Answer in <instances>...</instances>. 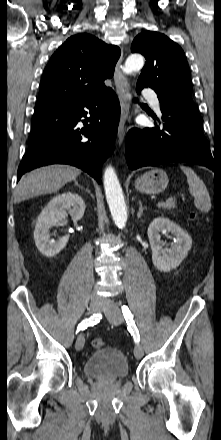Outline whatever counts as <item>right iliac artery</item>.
Returning a JSON list of instances; mask_svg holds the SVG:
<instances>
[{"instance_id":"right-iliac-artery-1","label":"right iliac artery","mask_w":221,"mask_h":440,"mask_svg":"<svg viewBox=\"0 0 221 440\" xmlns=\"http://www.w3.org/2000/svg\"><path fill=\"white\" fill-rule=\"evenodd\" d=\"M102 318V315L100 313L97 314H93V316H91L88 319L83 320L77 327V332H79L80 330H84L86 329L88 326L90 325H94L97 322L100 321V319Z\"/></svg>"}]
</instances>
